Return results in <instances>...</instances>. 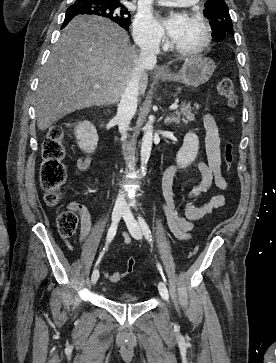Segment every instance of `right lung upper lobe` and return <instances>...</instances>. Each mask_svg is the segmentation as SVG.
Listing matches in <instances>:
<instances>
[{"label": "right lung upper lobe", "mask_w": 276, "mask_h": 363, "mask_svg": "<svg viewBox=\"0 0 276 363\" xmlns=\"http://www.w3.org/2000/svg\"><path fill=\"white\" fill-rule=\"evenodd\" d=\"M105 1L122 2L123 0H105Z\"/></svg>", "instance_id": "1"}]
</instances>
